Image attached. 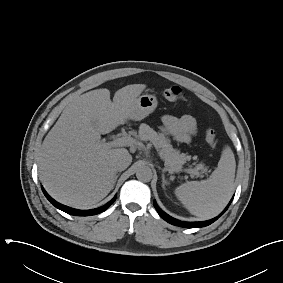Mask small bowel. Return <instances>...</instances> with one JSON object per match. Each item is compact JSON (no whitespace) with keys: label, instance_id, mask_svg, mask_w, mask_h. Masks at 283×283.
I'll use <instances>...</instances> for the list:
<instances>
[{"label":"small bowel","instance_id":"obj_1","mask_svg":"<svg viewBox=\"0 0 283 283\" xmlns=\"http://www.w3.org/2000/svg\"><path fill=\"white\" fill-rule=\"evenodd\" d=\"M161 130L179 143H188L197 133V124L195 118L190 114L181 117L164 115Z\"/></svg>","mask_w":283,"mask_h":283}]
</instances>
